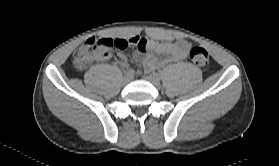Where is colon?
Returning a JSON list of instances; mask_svg holds the SVG:
<instances>
[{
    "label": "colon",
    "instance_id": "5ec220e1",
    "mask_svg": "<svg viewBox=\"0 0 279 166\" xmlns=\"http://www.w3.org/2000/svg\"><path fill=\"white\" fill-rule=\"evenodd\" d=\"M129 44L130 40L126 39L90 38L74 53L73 65L76 69H85L93 61L109 55L112 49L123 50ZM189 57L191 61L199 67H206L209 63L208 52L199 46H193L190 49Z\"/></svg>",
    "mask_w": 279,
    "mask_h": 166
}]
</instances>
